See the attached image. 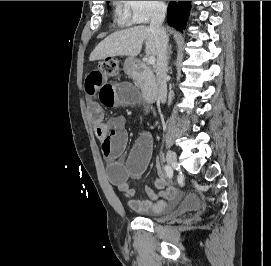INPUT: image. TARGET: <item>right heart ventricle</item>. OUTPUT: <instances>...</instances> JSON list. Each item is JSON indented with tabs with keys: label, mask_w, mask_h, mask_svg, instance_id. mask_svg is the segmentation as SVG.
Returning a JSON list of instances; mask_svg holds the SVG:
<instances>
[{
	"label": "right heart ventricle",
	"mask_w": 271,
	"mask_h": 266,
	"mask_svg": "<svg viewBox=\"0 0 271 266\" xmlns=\"http://www.w3.org/2000/svg\"><path fill=\"white\" fill-rule=\"evenodd\" d=\"M115 8H116V13L121 18L126 16L125 9H124V6H123V1H115Z\"/></svg>",
	"instance_id": "1"
}]
</instances>
